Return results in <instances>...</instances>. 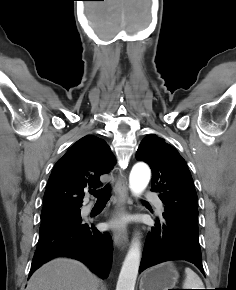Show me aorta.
I'll use <instances>...</instances> for the list:
<instances>
[{
	"label": "aorta",
	"mask_w": 236,
	"mask_h": 290,
	"mask_svg": "<svg viewBox=\"0 0 236 290\" xmlns=\"http://www.w3.org/2000/svg\"><path fill=\"white\" fill-rule=\"evenodd\" d=\"M151 172L146 164H136L129 176V187L135 196H139L147 187ZM141 259V244L135 238L123 262L116 290H134Z\"/></svg>",
	"instance_id": "obj_1"
}]
</instances>
